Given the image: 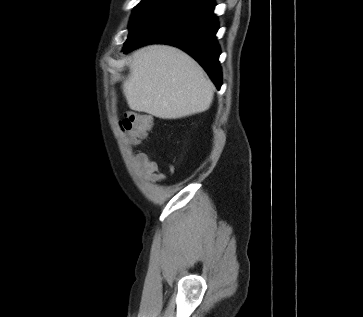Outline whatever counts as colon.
Wrapping results in <instances>:
<instances>
[{"label":"colon","instance_id":"1","mask_svg":"<svg viewBox=\"0 0 363 317\" xmlns=\"http://www.w3.org/2000/svg\"><path fill=\"white\" fill-rule=\"evenodd\" d=\"M152 118L139 112H128L120 121V127L127 135L129 144L135 145L145 138L152 128Z\"/></svg>","mask_w":363,"mask_h":317}]
</instances>
